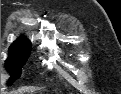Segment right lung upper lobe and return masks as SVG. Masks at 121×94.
<instances>
[{"label": "right lung upper lobe", "mask_w": 121, "mask_h": 94, "mask_svg": "<svg viewBox=\"0 0 121 94\" xmlns=\"http://www.w3.org/2000/svg\"><path fill=\"white\" fill-rule=\"evenodd\" d=\"M26 39L25 38H20V39H18L17 41H15L13 44H17V43H20V42H22V41H25ZM28 41V40H27ZM12 44V45H13Z\"/></svg>", "instance_id": "cb5924a9"}]
</instances>
